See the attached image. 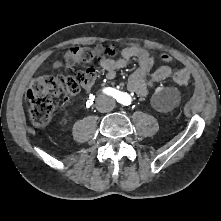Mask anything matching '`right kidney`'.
Segmentation results:
<instances>
[{"mask_svg":"<svg viewBox=\"0 0 221 221\" xmlns=\"http://www.w3.org/2000/svg\"><path fill=\"white\" fill-rule=\"evenodd\" d=\"M64 123H67V120H66V119L64 120Z\"/></svg>","mask_w":221,"mask_h":221,"instance_id":"obj_1","label":"right kidney"}]
</instances>
